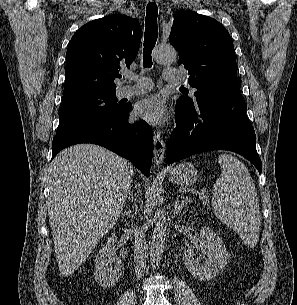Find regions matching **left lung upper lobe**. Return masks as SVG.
<instances>
[{"mask_svg": "<svg viewBox=\"0 0 297 305\" xmlns=\"http://www.w3.org/2000/svg\"><path fill=\"white\" fill-rule=\"evenodd\" d=\"M174 16L169 40L178 51L179 65L188 70V84L197 89L195 100L181 96L178 102L194 106L218 92L238 87L234 45L224 26L193 11L175 12Z\"/></svg>", "mask_w": 297, "mask_h": 305, "instance_id": "obj_1", "label": "left lung upper lobe"}]
</instances>
